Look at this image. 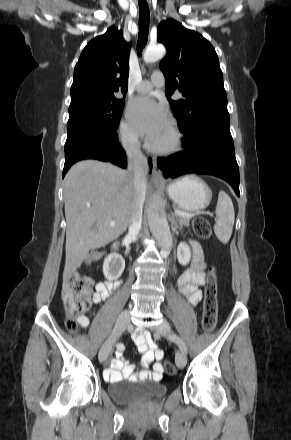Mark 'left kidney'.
<instances>
[{
  "mask_svg": "<svg viewBox=\"0 0 291 440\" xmlns=\"http://www.w3.org/2000/svg\"><path fill=\"white\" fill-rule=\"evenodd\" d=\"M177 258L181 265L186 266L191 258V251L187 243L181 242L177 248Z\"/></svg>",
  "mask_w": 291,
  "mask_h": 440,
  "instance_id": "5707ae66",
  "label": "left kidney"
}]
</instances>
